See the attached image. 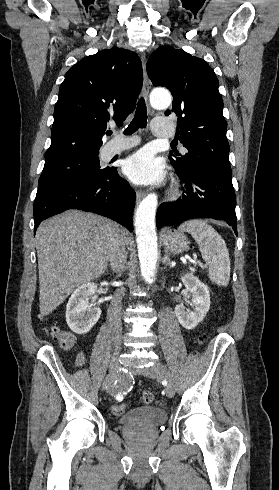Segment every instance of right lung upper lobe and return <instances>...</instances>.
<instances>
[{"mask_svg":"<svg viewBox=\"0 0 279 490\" xmlns=\"http://www.w3.org/2000/svg\"><path fill=\"white\" fill-rule=\"evenodd\" d=\"M142 82L140 58L123 48L77 62L59 89L45 163L98 155L109 120L121 125L134 111Z\"/></svg>","mask_w":279,"mask_h":490,"instance_id":"right-lung-upper-lobe-1","label":"right lung upper lobe"}]
</instances>
